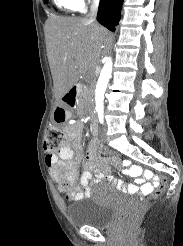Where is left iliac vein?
<instances>
[{"instance_id": "obj_1", "label": "left iliac vein", "mask_w": 183, "mask_h": 246, "mask_svg": "<svg viewBox=\"0 0 183 246\" xmlns=\"http://www.w3.org/2000/svg\"><path fill=\"white\" fill-rule=\"evenodd\" d=\"M100 137L101 139L105 142L106 141V138H107V129L106 127L104 126L100 132Z\"/></svg>"}]
</instances>
